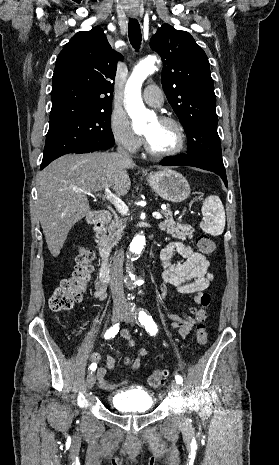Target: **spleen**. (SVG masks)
I'll return each instance as SVG.
<instances>
[{
  "label": "spleen",
  "instance_id": "3e777b00",
  "mask_svg": "<svg viewBox=\"0 0 279 465\" xmlns=\"http://www.w3.org/2000/svg\"><path fill=\"white\" fill-rule=\"evenodd\" d=\"M203 221L200 227L205 232L217 236L223 233L225 227V210L217 196H209L202 206Z\"/></svg>",
  "mask_w": 279,
  "mask_h": 465
}]
</instances>
